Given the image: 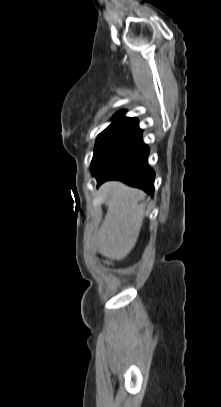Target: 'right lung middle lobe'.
<instances>
[{
  "mask_svg": "<svg viewBox=\"0 0 221 407\" xmlns=\"http://www.w3.org/2000/svg\"><path fill=\"white\" fill-rule=\"evenodd\" d=\"M138 131L139 128H114L104 130L100 133L96 140L91 162L92 174L94 176L98 174L119 151L123 144Z\"/></svg>",
  "mask_w": 221,
  "mask_h": 407,
  "instance_id": "dd1d6c3e",
  "label": "right lung middle lobe"
}]
</instances>
